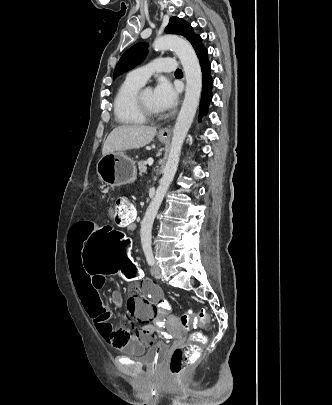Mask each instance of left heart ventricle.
I'll return each instance as SVG.
<instances>
[{
  "mask_svg": "<svg viewBox=\"0 0 332 405\" xmlns=\"http://www.w3.org/2000/svg\"><path fill=\"white\" fill-rule=\"evenodd\" d=\"M143 100L147 107L151 109L152 111L159 113L160 111L156 108L155 103H154V96H153V91L152 90H144L143 92Z\"/></svg>",
  "mask_w": 332,
  "mask_h": 405,
  "instance_id": "obj_1",
  "label": "left heart ventricle"
}]
</instances>
